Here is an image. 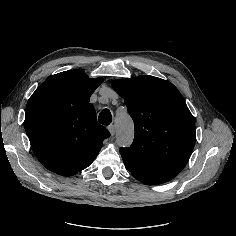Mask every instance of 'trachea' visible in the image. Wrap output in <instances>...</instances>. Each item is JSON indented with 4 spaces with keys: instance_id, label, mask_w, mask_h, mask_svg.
I'll use <instances>...</instances> for the list:
<instances>
[{
    "instance_id": "3493384b",
    "label": "trachea",
    "mask_w": 236,
    "mask_h": 236,
    "mask_svg": "<svg viewBox=\"0 0 236 236\" xmlns=\"http://www.w3.org/2000/svg\"><path fill=\"white\" fill-rule=\"evenodd\" d=\"M98 120L103 125H109L112 121L111 112L108 109H104L100 112Z\"/></svg>"
}]
</instances>
